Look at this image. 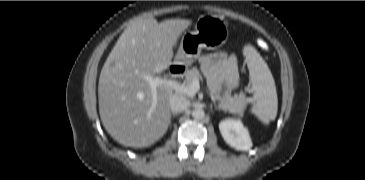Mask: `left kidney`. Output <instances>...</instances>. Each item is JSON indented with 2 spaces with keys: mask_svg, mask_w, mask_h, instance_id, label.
<instances>
[{
  "mask_svg": "<svg viewBox=\"0 0 365 180\" xmlns=\"http://www.w3.org/2000/svg\"><path fill=\"white\" fill-rule=\"evenodd\" d=\"M219 130L226 143L236 150L246 151L251 148L249 132L239 120H223L219 124Z\"/></svg>",
  "mask_w": 365,
  "mask_h": 180,
  "instance_id": "5707ae66",
  "label": "left kidney"
}]
</instances>
